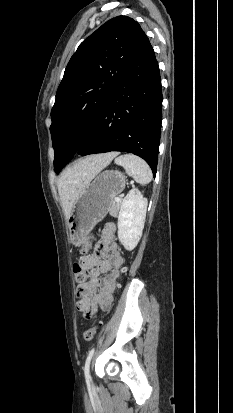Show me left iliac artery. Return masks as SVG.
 I'll list each match as a JSON object with an SVG mask.
<instances>
[{
	"instance_id": "obj_1",
	"label": "left iliac artery",
	"mask_w": 233,
	"mask_h": 413,
	"mask_svg": "<svg viewBox=\"0 0 233 413\" xmlns=\"http://www.w3.org/2000/svg\"><path fill=\"white\" fill-rule=\"evenodd\" d=\"M93 354H94V348H92L89 351V354H88L86 362H85L84 373H85V378H86L87 381L91 380V376H90V373H89V367H90V362H91Z\"/></svg>"
}]
</instances>
